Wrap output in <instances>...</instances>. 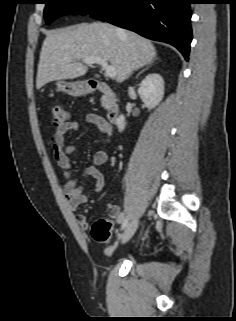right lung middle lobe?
<instances>
[{
	"label": "right lung middle lobe",
	"instance_id": "1",
	"mask_svg": "<svg viewBox=\"0 0 236 321\" xmlns=\"http://www.w3.org/2000/svg\"><path fill=\"white\" fill-rule=\"evenodd\" d=\"M111 0H45L44 17L47 24L56 18L68 14H91Z\"/></svg>",
	"mask_w": 236,
	"mask_h": 321
}]
</instances>
